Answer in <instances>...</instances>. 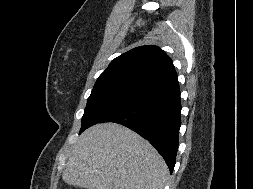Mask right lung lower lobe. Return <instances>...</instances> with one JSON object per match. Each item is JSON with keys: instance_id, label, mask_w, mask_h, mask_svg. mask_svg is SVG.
Instances as JSON below:
<instances>
[{"instance_id": "obj_1", "label": "right lung lower lobe", "mask_w": 253, "mask_h": 189, "mask_svg": "<svg viewBox=\"0 0 253 189\" xmlns=\"http://www.w3.org/2000/svg\"><path fill=\"white\" fill-rule=\"evenodd\" d=\"M115 122L146 138L162 155L173 172L181 126L178 82L153 89L137 101L116 110L97 123Z\"/></svg>"}]
</instances>
